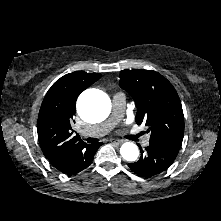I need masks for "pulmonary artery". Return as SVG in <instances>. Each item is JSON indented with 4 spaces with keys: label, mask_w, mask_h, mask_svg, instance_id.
<instances>
[{
    "label": "pulmonary artery",
    "mask_w": 221,
    "mask_h": 221,
    "mask_svg": "<svg viewBox=\"0 0 221 221\" xmlns=\"http://www.w3.org/2000/svg\"><path fill=\"white\" fill-rule=\"evenodd\" d=\"M126 106V96L122 92H117L112 97V114L111 117L106 120L105 122L94 125L88 130L84 131L82 134L83 136H91V137H100L107 133H109L115 125L120 121V119L124 115ZM143 145H149V138L146 137L143 140Z\"/></svg>",
    "instance_id": "1"
}]
</instances>
